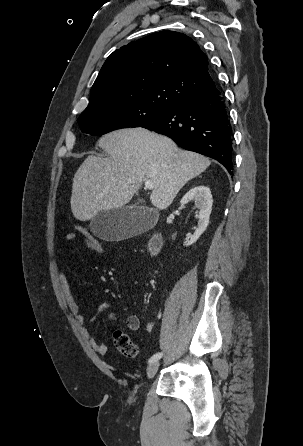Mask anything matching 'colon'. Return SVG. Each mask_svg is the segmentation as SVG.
Listing matches in <instances>:
<instances>
[{"label": "colon", "instance_id": "obj_1", "mask_svg": "<svg viewBox=\"0 0 303 446\" xmlns=\"http://www.w3.org/2000/svg\"><path fill=\"white\" fill-rule=\"evenodd\" d=\"M75 231L78 235L87 237L92 240L95 253H103L104 247L100 241L94 238L86 228L81 225H75ZM112 341L115 348L125 357L133 359L138 356V347L133 343L129 336L121 331L116 330L112 334Z\"/></svg>", "mask_w": 303, "mask_h": 446}]
</instances>
